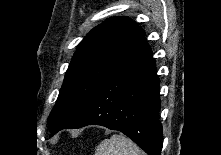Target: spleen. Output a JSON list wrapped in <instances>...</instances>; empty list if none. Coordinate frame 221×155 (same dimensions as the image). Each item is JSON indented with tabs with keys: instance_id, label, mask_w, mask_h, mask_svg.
<instances>
[{
	"instance_id": "spleen-1",
	"label": "spleen",
	"mask_w": 221,
	"mask_h": 155,
	"mask_svg": "<svg viewBox=\"0 0 221 155\" xmlns=\"http://www.w3.org/2000/svg\"><path fill=\"white\" fill-rule=\"evenodd\" d=\"M94 155H145V153L129 138L114 134L100 142Z\"/></svg>"
}]
</instances>
